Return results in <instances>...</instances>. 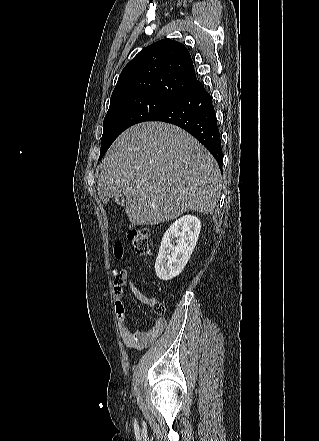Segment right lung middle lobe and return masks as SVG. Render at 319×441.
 <instances>
[{"mask_svg":"<svg viewBox=\"0 0 319 441\" xmlns=\"http://www.w3.org/2000/svg\"><path fill=\"white\" fill-rule=\"evenodd\" d=\"M171 100L145 96L127 100L109 107L103 122L101 139V159L114 140L134 124L148 121L153 115L165 108Z\"/></svg>","mask_w":319,"mask_h":441,"instance_id":"right-lung-middle-lobe-1","label":"right lung middle lobe"}]
</instances>
